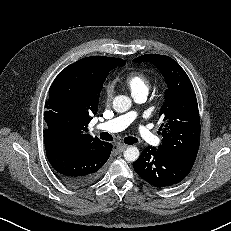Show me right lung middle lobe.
<instances>
[{
	"mask_svg": "<svg viewBox=\"0 0 231 231\" xmlns=\"http://www.w3.org/2000/svg\"><path fill=\"white\" fill-rule=\"evenodd\" d=\"M124 65L125 61L118 59L110 68L112 70L117 66L122 67ZM93 95V85L86 80L79 68L70 65L53 81L49 89V98L46 101L45 107L48 111L59 106L84 104Z\"/></svg>",
	"mask_w": 231,
	"mask_h": 231,
	"instance_id": "dd1d6c3e",
	"label": "right lung middle lobe"
}]
</instances>
